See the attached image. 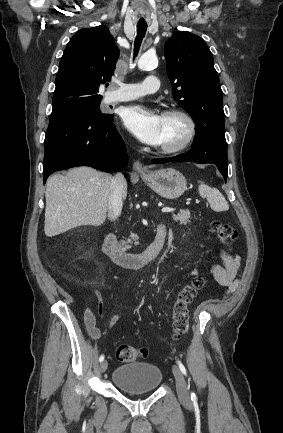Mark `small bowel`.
<instances>
[{"label":"small bowel","mask_w":283,"mask_h":433,"mask_svg":"<svg viewBox=\"0 0 283 433\" xmlns=\"http://www.w3.org/2000/svg\"><path fill=\"white\" fill-rule=\"evenodd\" d=\"M222 264H214L208 267L214 279L221 286L226 287V293L233 292L238 286L239 272H240V257L238 255H229L222 251L221 254ZM199 271L192 269L184 275V278L197 276ZM101 313V311H100ZM118 320V315L111 318L109 327H112ZM85 327L92 339L100 337V331L96 326V316L90 307H87L84 312Z\"/></svg>","instance_id":"1"}]
</instances>
